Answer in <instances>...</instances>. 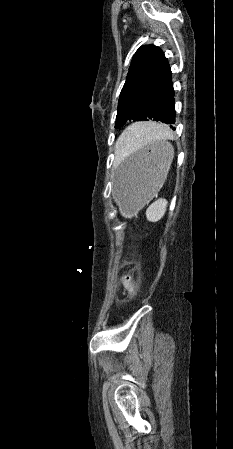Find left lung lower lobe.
Returning <instances> with one entry per match:
<instances>
[{"mask_svg": "<svg viewBox=\"0 0 233 449\" xmlns=\"http://www.w3.org/2000/svg\"><path fill=\"white\" fill-rule=\"evenodd\" d=\"M147 115V120L164 122L175 130L173 125L175 124L176 112L172 81L153 100L147 110Z\"/></svg>", "mask_w": 233, "mask_h": 449, "instance_id": "0a47b994", "label": "left lung lower lobe"}]
</instances>
